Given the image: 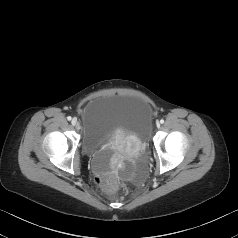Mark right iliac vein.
I'll return each mask as SVG.
<instances>
[{
    "label": "right iliac vein",
    "instance_id": "1",
    "mask_svg": "<svg viewBox=\"0 0 238 238\" xmlns=\"http://www.w3.org/2000/svg\"><path fill=\"white\" fill-rule=\"evenodd\" d=\"M71 124H72L73 126H77V125H78L77 119H76V118H73L72 121H71Z\"/></svg>",
    "mask_w": 238,
    "mask_h": 238
}]
</instances>
